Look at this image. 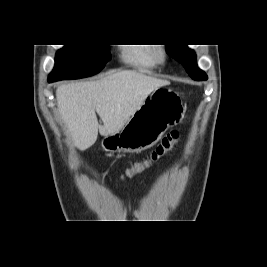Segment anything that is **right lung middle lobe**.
<instances>
[{
	"instance_id": "obj_1",
	"label": "right lung middle lobe",
	"mask_w": 267,
	"mask_h": 267,
	"mask_svg": "<svg viewBox=\"0 0 267 267\" xmlns=\"http://www.w3.org/2000/svg\"><path fill=\"white\" fill-rule=\"evenodd\" d=\"M110 59L108 45H65L56 53L55 67L48 79H79L99 73Z\"/></svg>"
}]
</instances>
